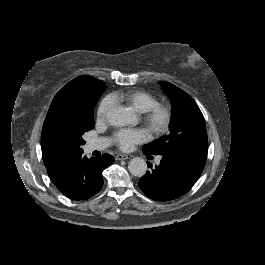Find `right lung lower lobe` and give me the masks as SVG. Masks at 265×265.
<instances>
[{
  "mask_svg": "<svg viewBox=\"0 0 265 265\" xmlns=\"http://www.w3.org/2000/svg\"><path fill=\"white\" fill-rule=\"evenodd\" d=\"M113 162L114 157L109 154L91 159L80 155L55 169L49 177L66 197L83 200L100 191L103 186L102 171Z\"/></svg>",
  "mask_w": 265,
  "mask_h": 265,
  "instance_id": "98d812e1",
  "label": "right lung lower lobe"
}]
</instances>
